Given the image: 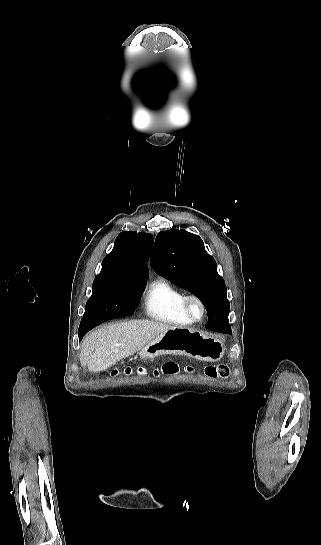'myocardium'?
I'll list each match as a JSON object with an SVG mask.
<instances>
[{
    "instance_id": "myocardium-1",
    "label": "myocardium",
    "mask_w": 321,
    "mask_h": 545,
    "mask_svg": "<svg viewBox=\"0 0 321 545\" xmlns=\"http://www.w3.org/2000/svg\"><path fill=\"white\" fill-rule=\"evenodd\" d=\"M194 305L199 307V313L194 312ZM182 309L184 314L192 323L200 322L206 313V307L203 300L196 294H187L184 296L182 302Z\"/></svg>"
}]
</instances>
